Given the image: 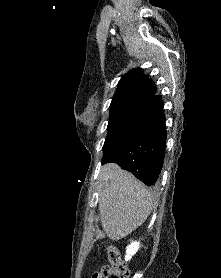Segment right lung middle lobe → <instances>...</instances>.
<instances>
[{
	"instance_id": "right-lung-middle-lobe-1",
	"label": "right lung middle lobe",
	"mask_w": 221,
	"mask_h": 278,
	"mask_svg": "<svg viewBox=\"0 0 221 278\" xmlns=\"http://www.w3.org/2000/svg\"><path fill=\"white\" fill-rule=\"evenodd\" d=\"M153 112L147 104H130L110 111L103 157L131 136Z\"/></svg>"
}]
</instances>
